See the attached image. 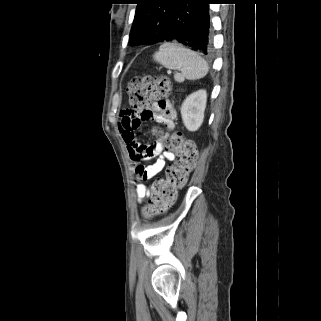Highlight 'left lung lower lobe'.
<instances>
[{
    "mask_svg": "<svg viewBox=\"0 0 321 321\" xmlns=\"http://www.w3.org/2000/svg\"><path fill=\"white\" fill-rule=\"evenodd\" d=\"M214 0H177L161 42L182 43L204 54L212 49L209 4Z\"/></svg>",
    "mask_w": 321,
    "mask_h": 321,
    "instance_id": "obj_1",
    "label": "left lung lower lobe"
}]
</instances>
